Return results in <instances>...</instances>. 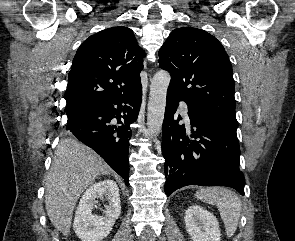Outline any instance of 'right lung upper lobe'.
Returning <instances> with one entry per match:
<instances>
[{
	"mask_svg": "<svg viewBox=\"0 0 295 241\" xmlns=\"http://www.w3.org/2000/svg\"><path fill=\"white\" fill-rule=\"evenodd\" d=\"M144 52L133 31L111 27L78 48L64 98L67 115L95 101L126 94L141 84Z\"/></svg>",
	"mask_w": 295,
	"mask_h": 241,
	"instance_id": "cb5924a9",
	"label": "right lung upper lobe"
}]
</instances>
